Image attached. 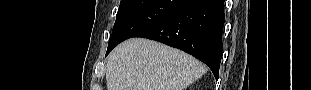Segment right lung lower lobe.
<instances>
[{
    "mask_svg": "<svg viewBox=\"0 0 311 90\" xmlns=\"http://www.w3.org/2000/svg\"><path fill=\"white\" fill-rule=\"evenodd\" d=\"M224 21V0H187L135 37L153 39L193 55L207 64L218 79Z\"/></svg>",
    "mask_w": 311,
    "mask_h": 90,
    "instance_id": "1",
    "label": "right lung lower lobe"
}]
</instances>
